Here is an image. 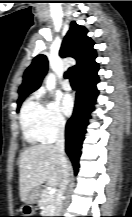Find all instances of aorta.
Masks as SVG:
<instances>
[{
	"label": "aorta",
	"mask_w": 132,
	"mask_h": 217,
	"mask_svg": "<svg viewBox=\"0 0 132 217\" xmlns=\"http://www.w3.org/2000/svg\"><path fill=\"white\" fill-rule=\"evenodd\" d=\"M46 88L49 92H53L56 88V76L53 73H49L45 79Z\"/></svg>",
	"instance_id": "762f6f07"
}]
</instances>
